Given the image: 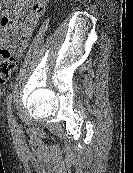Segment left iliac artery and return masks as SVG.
Returning a JSON list of instances; mask_svg holds the SVG:
<instances>
[{
	"label": "left iliac artery",
	"instance_id": "1",
	"mask_svg": "<svg viewBox=\"0 0 133 173\" xmlns=\"http://www.w3.org/2000/svg\"><path fill=\"white\" fill-rule=\"evenodd\" d=\"M6 102H7L8 120H9L10 124L12 126H14L15 125V118H14V115L12 112V93L11 92L7 95Z\"/></svg>",
	"mask_w": 133,
	"mask_h": 173
}]
</instances>
